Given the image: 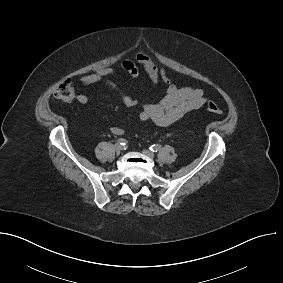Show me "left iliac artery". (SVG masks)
<instances>
[{"label":"left iliac artery","mask_w":283,"mask_h":283,"mask_svg":"<svg viewBox=\"0 0 283 283\" xmlns=\"http://www.w3.org/2000/svg\"><path fill=\"white\" fill-rule=\"evenodd\" d=\"M152 152H158L161 149V145L159 144H153L149 148Z\"/></svg>","instance_id":"1"}]
</instances>
